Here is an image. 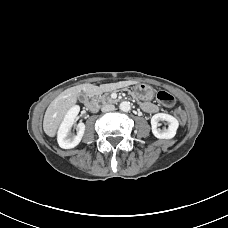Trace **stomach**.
Segmentation results:
<instances>
[{"instance_id":"0dacf381","label":"stomach","mask_w":228,"mask_h":228,"mask_svg":"<svg viewBox=\"0 0 228 228\" xmlns=\"http://www.w3.org/2000/svg\"><path fill=\"white\" fill-rule=\"evenodd\" d=\"M133 95L144 101L153 99L154 91L153 88L145 83H138L133 88Z\"/></svg>"}]
</instances>
